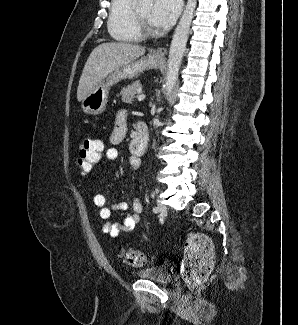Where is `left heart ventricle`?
<instances>
[{"label":"left heart ventricle","mask_w":298,"mask_h":325,"mask_svg":"<svg viewBox=\"0 0 298 325\" xmlns=\"http://www.w3.org/2000/svg\"><path fill=\"white\" fill-rule=\"evenodd\" d=\"M151 8L152 3L150 1H142L140 3V14L145 22V24L152 30L158 31L159 28L153 23L151 19Z\"/></svg>","instance_id":"obj_1"}]
</instances>
